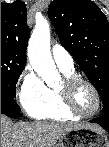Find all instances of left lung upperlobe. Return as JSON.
I'll return each mask as SVG.
<instances>
[{
	"instance_id": "1",
	"label": "left lung upper lobe",
	"mask_w": 109,
	"mask_h": 147,
	"mask_svg": "<svg viewBox=\"0 0 109 147\" xmlns=\"http://www.w3.org/2000/svg\"><path fill=\"white\" fill-rule=\"evenodd\" d=\"M48 16L62 45L74 57L109 112V23L91 0H54Z\"/></svg>"
}]
</instances>
